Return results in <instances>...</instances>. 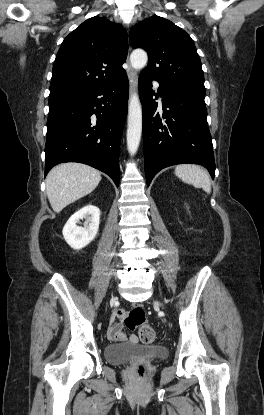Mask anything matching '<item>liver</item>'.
<instances>
[{"mask_svg": "<svg viewBox=\"0 0 264 415\" xmlns=\"http://www.w3.org/2000/svg\"><path fill=\"white\" fill-rule=\"evenodd\" d=\"M98 170L80 163L55 166L46 177V192L52 209L60 212L69 204L91 193L99 184Z\"/></svg>", "mask_w": 264, "mask_h": 415, "instance_id": "6515ba94", "label": "liver"}]
</instances>
